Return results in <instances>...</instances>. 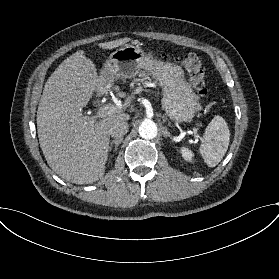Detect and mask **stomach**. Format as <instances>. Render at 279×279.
Returning a JSON list of instances; mask_svg holds the SVG:
<instances>
[{
	"label": "stomach",
	"instance_id": "stomach-1",
	"mask_svg": "<svg viewBox=\"0 0 279 279\" xmlns=\"http://www.w3.org/2000/svg\"><path fill=\"white\" fill-rule=\"evenodd\" d=\"M141 70L161 87L162 109L168 120L176 124L191 122L201 108L180 64L149 55L141 47L129 44L110 54L102 73H109L113 82L114 78L132 79Z\"/></svg>",
	"mask_w": 279,
	"mask_h": 279
}]
</instances>
